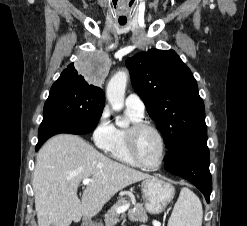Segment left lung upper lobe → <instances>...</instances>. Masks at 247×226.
<instances>
[{
  "mask_svg": "<svg viewBox=\"0 0 247 226\" xmlns=\"http://www.w3.org/2000/svg\"><path fill=\"white\" fill-rule=\"evenodd\" d=\"M126 65L134 90L157 122L168 152L207 135L197 82L175 51L151 49L128 58Z\"/></svg>",
  "mask_w": 247,
  "mask_h": 226,
  "instance_id": "left-lung-upper-lobe-1",
  "label": "left lung upper lobe"
}]
</instances>
